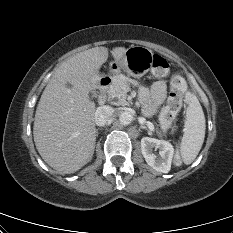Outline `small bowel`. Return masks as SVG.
I'll return each instance as SVG.
<instances>
[{
	"label": "small bowel",
	"instance_id": "obj_1",
	"mask_svg": "<svg viewBox=\"0 0 233 233\" xmlns=\"http://www.w3.org/2000/svg\"><path fill=\"white\" fill-rule=\"evenodd\" d=\"M167 95V84L165 81H157L152 86V98L147 106V112L153 113L155 109L161 105Z\"/></svg>",
	"mask_w": 233,
	"mask_h": 233
}]
</instances>
